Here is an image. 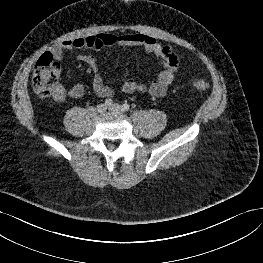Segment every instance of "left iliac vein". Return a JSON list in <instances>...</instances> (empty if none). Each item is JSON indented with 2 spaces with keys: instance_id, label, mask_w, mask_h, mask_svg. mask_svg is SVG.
Here are the masks:
<instances>
[{
  "instance_id": "obj_1",
  "label": "left iliac vein",
  "mask_w": 263,
  "mask_h": 263,
  "mask_svg": "<svg viewBox=\"0 0 263 263\" xmlns=\"http://www.w3.org/2000/svg\"><path fill=\"white\" fill-rule=\"evenodd\" d=\"M109 110L112 111V112H116V113H123L124 110H123V107L120 106L119 104H112L110 107H109Z\"/></svg>"
}]
</instances>
